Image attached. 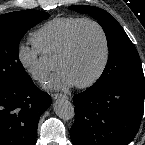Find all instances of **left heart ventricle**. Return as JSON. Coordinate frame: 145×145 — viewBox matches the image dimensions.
I'll return each instance as SVG.
<instances>
[{
    "mask_svg": "<svg viewBox=\"0 0 145 145\" xmlns=\"http://www.w3.org/2000/svg\"><path fill=\"white\" fill-rule=\"evenodd\" d=\"M103 57L104 45L99 30L91 24H84L76 34L70 54L55 60L54 66L66 72L75 84H79L95 75Z\"/></svg>",
    "mask_w": 145,
    "mask_h": 145,
    "instance_id": "b2bd125f",
    "label": "left heart ventricle"
}]
</instances>
